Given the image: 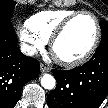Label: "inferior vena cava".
I'll return each mask as SVG.
<instances>
[{
  "label": "inferior vena cava",
  "mask_w": 108,
  "mask_h": 108,
  "mask_svg": "<svg viewBox=\"0 0 108 108\" xmlns=\"http://www.w3.org/2000/svg\"><path fill=\"white\" fill-rule=\"evenodd\" d=\"M21 52L26 56H33L36 53V48L27 44L21 45Z\"/></svg>",
  "instance_id": "obj_1"
}]
</instances>
